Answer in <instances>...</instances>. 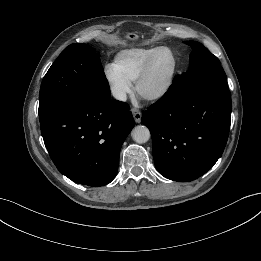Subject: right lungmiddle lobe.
I'll return each instance as SVG.
<instances>
[{
	"label": "right lung middle lobe",
	"instance_id": "1",
	"mask_svg": "<svg viewBox=\"0 0 261 261\" xmlns=\"http://www.w3.org/2000/svg\"><path fill=\"white\" fill-rule=\"evenodd\" d=\"M83 96H110L99 54L87 44H71L52 64L40 88L39 119Z\"/></svg>",
	"mask_w": 261,
	"mask_h": 261
}]
</instances>
